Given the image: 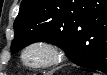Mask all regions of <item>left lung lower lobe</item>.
<instances>
[{
  "instance_id": "1",
  "label": "left lung lower lobe",
  "mask_w": 107,
  "mask_h": 75,
  "mask_svg": "<svg viewBox=\"0 0 107 75\" xmlns=\"http://www.w3.org/2000/svg\"><path fill=\"white\" fill-rule=\"evenodd\" d=\"M89 1L98 5L80 25L78 40L86 44V51L82 55H66L80 67L107 73V0Z\"/></svg>"
}]
</instances>
